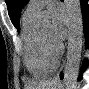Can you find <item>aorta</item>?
I'll return each mask as SVG.
<instances>
[{"label": "aorta", "instance_id": "762f6f07", "mask_svg": "<svg viewBox=\"0 0 89 89\" xmlns=\"http://www.w3.org/2000/svg\"><path fill=\"white\" fill-rule=\"evenodd\" d=\"M68 23L67 61L64 74V89H76L83 49V23L79 0H65ZM38 21L46 24L50 15L41 11Z\"/></svg>", "mask_w": 89, "mask_h": 89}]
</instances>
